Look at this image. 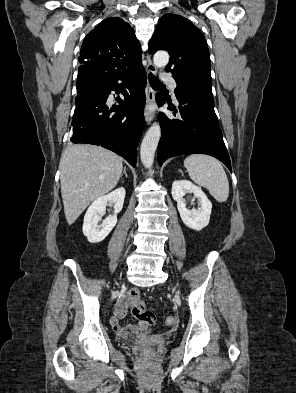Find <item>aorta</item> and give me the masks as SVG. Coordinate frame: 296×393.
<instances>
[{
  "label": "aorta",
  "instance_id": "1",
  "mask_svg": "<svg viewBox=\"0 0 296 393\" xmlns=\"http://www.w3.org/2000/svg\"><path fill=\"white\" fill-rule=\"evenodd\" d=\"M154 65L164 67L169 62V55L166 51H158L153 57ZM161 136V127L154 123L146 132L140 147L141 162L146 168H151L154 162L155 151Z\"/></svg>",
  "mask_w": 296,
  "mask_h": 393
}]
</instances>
